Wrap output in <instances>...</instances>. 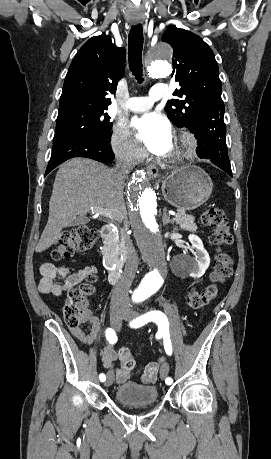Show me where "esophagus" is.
I'll list each match as a JSON object with an SVG mask.
<instances>
[{"label":"esophagus","instance_id":"obj_1","mask_svg":"<svg viewBox=\"0 0 271 459\" xmlns=\"http://www.w3.org/2000/svg\"><path fill=\"white\" fill-rule=\"evenodd\" d=\"M147 174L150 179H155L158 175V167L154 163L147 165Z\"/></svg>","mask_w":271,"mask_h":459}]
</instances>
